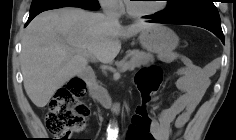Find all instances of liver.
Segmentation results:
<instances>
[{
	"label": "liver",
	"instance_id": "1",
	"mask_svg": "<svg viewBox=\"0 0 236 140\" xmlns=\"http://www.w3.org/2000/svg\"><path fill=\"white\" fill-rule=\"evenodd\" d=\"M154 24L144 21L123 27L102 13L81 8L45 11L27 26L20 55L25 91L37 107H44L55 92L88 65L84 51L110 63L128 39Z\"/></svg>",
	"mask_w": 236,
	"mask_h": 140
}]
</instances>
